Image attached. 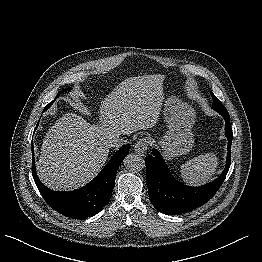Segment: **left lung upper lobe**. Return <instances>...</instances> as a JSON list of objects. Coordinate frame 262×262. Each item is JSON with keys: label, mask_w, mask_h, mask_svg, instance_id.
Wrapping results in <instances>:
<instances>
[{"label": "left lung upper lobe", "mask_w": 262, "mask_h": 262, "mask_svg": "<svg viewBox=\"0 0 262 262\" xmlns=\"http://www.w3.org/2000/svg\"><path fill=\"white\" fill-rule=\"evenodd\" d=\"M211 96L213 98V109L215 111H227L225 106L220 102V100L211 92Z\"/></svg>", "instance_id": "left-lung-upper-lobe-1"}]
</instances>
